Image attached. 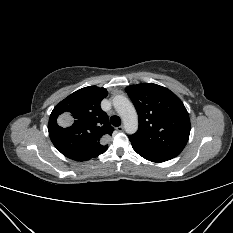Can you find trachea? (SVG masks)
<instances>
[{
    "mask_svg": "<svg viewBox=\"0 0 233 233\" xmlns=\"http://www.w3.org/2000/svg\"><path fill=\"white\" fill-rule=\"evenodd\" d=\"M110 122H111V124L113 125V126H120L121 125V119H120V117H118V116H112L111 118H110Z\"/></svg>",
    "mask_w": 233,
    "mask_h": 233,
    "instance_id": "trachea-1",
    "label": "trachea"
}]
</instances>
